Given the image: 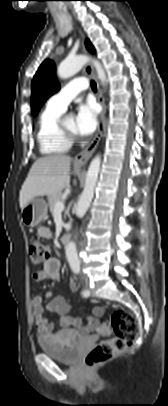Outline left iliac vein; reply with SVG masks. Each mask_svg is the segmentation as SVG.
<instances>
[{
    "instance_id": "1",
    "label": "left iliac vein",
    "mask_w": 168,
    "mask_h": 406,
    "mask_svg": "<svg viewBox=\"0 0 168 406\" xmlns=\"http://www.w3.org/2000/svg\"><path fill=\"white\" fill-rule=\"evenodd\" d=\"M88 290L91 292L90 288L88 287Z\"/></svg>"
}]
</instances>
